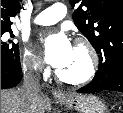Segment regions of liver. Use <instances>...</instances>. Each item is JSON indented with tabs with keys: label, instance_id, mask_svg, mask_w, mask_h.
<instances>
[{
	"label": "liver",
	"instance_id": "obj_1",
	"mask_svg": "<svg viewBox=\"0 0 123 113\" xmlns=\"http://www.w3.org/2000/svg\"><path fill=\"white\" fill-rule=\"evenodd\" d=\"M45 100L39 96L28 102L19 90H1V113H44Z\"/></svg>",
	"mask_w": 123,
	"mask_h": 113
}]
</instances>
